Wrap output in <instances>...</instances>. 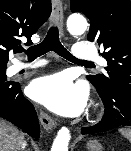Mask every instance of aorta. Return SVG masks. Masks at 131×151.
Returning <instances> with one entry per match:
<instances>
[{
	"label": "aorta",
	"instance_id": "762f6f07",
	"mask_svg": "<svg viewBox=\"0 0 131 151\" xmlns=\"http://www.w3.org/2000/svg\"><path fill=\"white\" fill-rule=\"evenodd\" d=\"M87 21L80 14H72L67 19V28L72 35H81L87 29ZM70 141V131L67 127H62L54 139L51 151H68Z\"/></svg>",
	"mask_w": 131,
	"mask_h": 151
}]
</instances>
